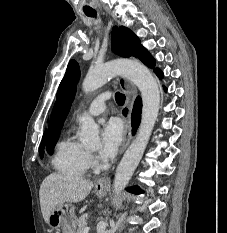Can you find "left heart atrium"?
<instances>
[{"mask_svg": "<svg viewBox=\"0 0 227 233\" xmlns=\"http://www.w3.org/2000/svg\"><path fill=\"white\" fill-rule=\"evenodd\" d=\"M122 135V127L116 120H110L103 126L99 149L101 160L107 161L115 156L121 144Z\"/></svg>", "mask_w": 227, "mask_h": 233, "instance_id": "obj_1", "label": "left heart atrium"}]
</instances>
